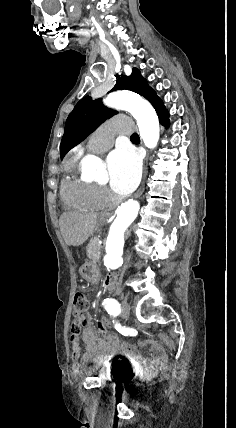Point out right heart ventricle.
Returning <instances> with one entry per match:
<instances>
[{
    "instance_id": "right-heart-ventricle-1",
    "label": "right heart ventricle",
    "mask_w": 236,
    "mask_h": 428,
    "mask_svg": "<svg viewBox=\"0 0 236 428\" xmlns=\"http://www.w3.org/2000/svg\"><path fill=\"white\" fill-rule=\"evenodd\" d=\"M84 152H75L60 184V195L69 208L95 211L102 207L104 198L100 188L82 176Z\"/></svg>"
}]
</instances>
